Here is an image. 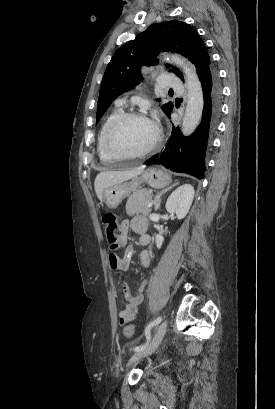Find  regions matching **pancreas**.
Here are the masks:
<instances>
[{"label":"pancreas","mask_w":275,"mask_h":409,"mask_svg":"<svg viewBox=\"0 0 275 409\" xmlns=\"http://www.w3.org/2000/svg\"><path fill=\"white\" fill-rule=\"evenodd\" d=\"M152 200V192L148 188H139L133 194H130L126 202L127 215H134V213H143L149 215L151 207H147L148 202Z\"/></svg>","instance_id":"cf45deb5"}]
</instances>
